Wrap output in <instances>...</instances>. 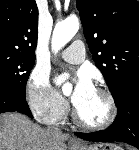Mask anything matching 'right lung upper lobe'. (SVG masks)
<instances>
[{
  "label": "right lung upper lobe",
  "mask_w": 139,
  "mask_h": 150,
  "mask_svg": "<svg viewBox=\"0 0 139 150\" xmlns=\"http://www.w3.org/2000/svg\"><path fill=\"white\" fill-rule=\"evenodd\" d=\"M37 28L35 0H0V50L35 57Z\"/></svg>",
  "instance_id": "1"
}]
</instances>
